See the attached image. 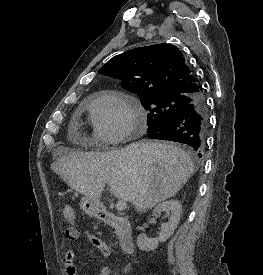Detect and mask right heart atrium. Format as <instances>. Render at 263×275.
<instances>
[{"instance_id": "d8ad5b80", "label": "right heart atrium", "mask_w": 263, "mask_h": 275, "mask_svg": "<svg viewBox=\"0 0 263 275\" xmlns=\"http://www.w3.org/2000/svg\"><path fill=\"white\" fill-rule=\"evenodd\" d=\"M92 121L96 138L117 143L134 135L142 122L137 107L126 95L104 92L92 102Z\"/></svg>"}]
</instances>
